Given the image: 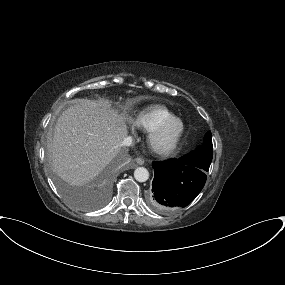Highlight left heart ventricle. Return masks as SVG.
<instances>
[{
    "instance_id": "obj_1",
    "label": "left heart ventricle",
    "mask_w": 285,
    "mask_h": 285,
    "mask_svg": "<svg viewBox=\"0 0 285 285\" xmlns=\"http://www.w3.org/2000/svg\"><path fill=\"white\" fill-rule=\"evenodd\" d=\"M178 129V125L174 124L172 125L162 136L159 137V142H165L167 141Z\"/></svg>"
}]
</instances>
